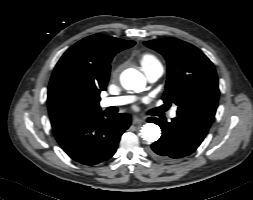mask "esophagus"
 Masks as SVG:
<instances>
[{
	"label": "esophagus",
	"instance_id": "1",
	"mask_svg": "<svg viewBox=\"0 0 253 200\" xmlns=\"http://www.w3.org/2000/svg\"><path fill=\"white\" fill-rule=\"evenodd\" d=\"M132 123H133L134 125L142 124V123H143V120L140 119V118L135 117V118H133Z\"/></svg>",
	"mask_w": 253,
	"mask_h": 200
}]
</instances>
